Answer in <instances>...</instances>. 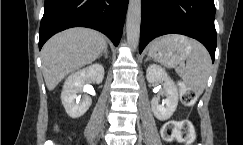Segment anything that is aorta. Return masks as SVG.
I'll return each instance as SVG.
<instances>
[{
  "instance_id": "aorta-1",
  "label": "aorta",
  "mask_w": 243,
  "mask_h": 145,
  "mask_svg": "<svg viewBox=\"0 0 243 145\" xmlns=\"http://www.w3.org/2000/svg\"><path fill=\"white\" fill-rule=\"evenodd\" d=\"M141 24V0H130L126 19L127 42L135 49L139 44Z\"/></svg>"
}]
</instances>
